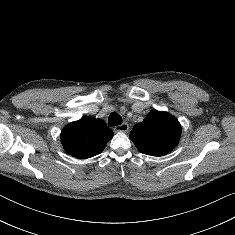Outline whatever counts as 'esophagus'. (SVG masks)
Returning a JSON list of instances; mask_svg holds the SVG:
<instances>
[{
    "mask_svg": "<svg viewBox=\"0 0 235 235\" xmlns=\"http://www.w3.org/2000/svg\"><path fill=\"white\" fill-rule=\"evenodd\" d=\"M128 130H129V125L126 122L114 127L115 132H127Z\"/></svg>",
    "mask_w": 235,
    "mask_h": 235,
    "instance_id": "esophagus-1",
    "label": "esophagus"
}]
</instances>
